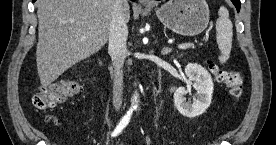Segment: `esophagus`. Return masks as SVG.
I'll return each instance as SVG.
<instances>
[{"label": "esophagus", "mask_w": 276, "mask_h": 145, "mask_svg": "<svg viewBox=\"0 0 276 145\" xmlns=\"http://www.w3.org/2000/svg\"><path fill=\"white\" fill-rule=\"evenodd\" d=\"M139 2L143 5H151L152 4V1H150V0H139Z\"/></svg>", "instance_id": "obj_1"}]
</instances>
